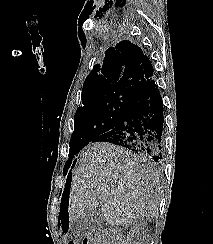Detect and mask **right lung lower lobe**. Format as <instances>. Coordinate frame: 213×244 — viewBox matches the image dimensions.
<instances>
[{
  "mask_svg": "<svg viewBox=\"0 0 213 244\" xmlns=\"http://www.w3.org/2000/svg\"><path fill=\"white\" fill-rule=\"evenodd\" d=\"M163 124V101L152 79L133 97L117 125L91 142L113 143L158 162L162 158ZM71 176L69 172L63 195L69 192Z\"/></svg>",
  "mask_w": 213,
  "mask_h": 244,
  "instance_id": "right-lung-lower-lobe-1",
  "label": "right lung lower lobe"
}]
</instances>
